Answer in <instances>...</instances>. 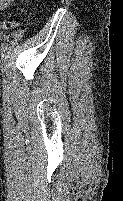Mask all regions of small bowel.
I'll list each match as a JSON object with an SVG mask.
<instances>
[{"instance_id": "1", "label": "small bowel", "mask_w": 123, "mask_h": 201, "mask_svg": "<svg viewBox=\"0 0 123 201\" xmlns=\"http://www.w3.org/2000/svg\"><path fill=\"white\" fill-rule=\"evenodd\" d=\"M9 2H11V0H0V8L8 4ZM18 27L19 23L14 21L0 22V31L17 29Z\"/></svg>"}]
</instances>
